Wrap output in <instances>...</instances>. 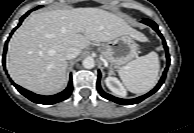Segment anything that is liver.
Returning a JSON list of instances; mask_svg holds the SVG:
<instances>
[{
    "label": "liver",
    "mask_w": 194,
    "mask_h": 133,
    "mask_svg": "<svg viewBox=\"0 0 194 133\" xmlns=\"http://www.w3.org/2000/svg\"><path fill=\"white\" fill-rule=\"evenodd\" d=\"M125 34L141 42L147 40L123 18L99 8L34 13L9 41L7 70L22 87L38 94H54L67 82V48L76 47L81 52L91 41L109 42Z\"/></svg>",
    "instance_id": "liver-1"
}]
</instances>
